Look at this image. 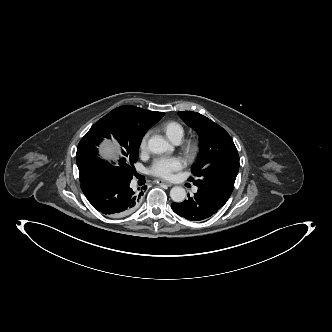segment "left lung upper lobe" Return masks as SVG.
<instances>
[{
	"instance_id": "left-lung-upper-lobe-1",
	"label": "left lung upper lobe",
	"mask_w": 332,
	"mask_h": 332,
	"mask_svg": "<svg viewBox=\"0 0 332 332\" xmlns=\"http://www.w3.org/2000/svg\"><path fill=\"white\" fill-rule=\"evenodd\" d=\"M178 115L200 137V153L191 169L197 177L193 184L227 202L239 170V155L232 138L222 127L199 113L181 111Z\"/></svg>"
}]
</instances>
